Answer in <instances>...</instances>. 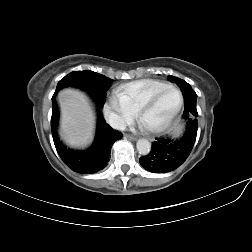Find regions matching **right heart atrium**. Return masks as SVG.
<instances>
[{
    "label": "right heart atrium",
    "mask_w": 252,
    "mask_h": 252,
    "mask_svg": "<svg viewBox=\"0 0 252 252\" xmlns=\"http://www.w3.org/2000/svg\"><path fill=\"white\" fill-rule=\"evenodd\" d=\"M110 121L113 126L122 128L135 116V109L127 98L118 90L113 91L108 97Z\"/></svg>",
    "instance_id": "d8ad5b80"
}]
</instances>
